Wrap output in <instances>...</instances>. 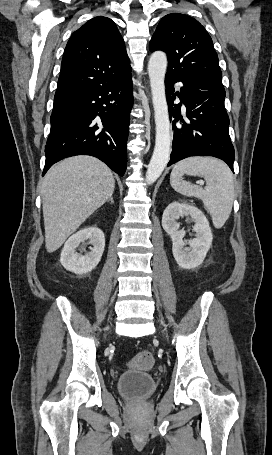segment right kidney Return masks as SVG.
I'll return each instance as SVG.
<instances>
[{"instance_id":"ca27d5eb","label":"right kidney","mask_w":272,"mask_h":455,"mask_svg":"<svg viewBox=\"0 0 272 455\" xmlns=\"http://www.w3.org/2000/svg\"><path fill=\"white\" fill-rule=\"evenodd\" d=\"M89 241L93 247L90 252L82 255L76 252L80 244ZM105 248V237L97 227L84 228L73 234L65 243L60 257L63 267L75 274H85L92 271L100 262Z\"/></svg>"}]
</instances>
